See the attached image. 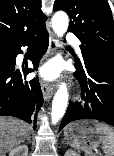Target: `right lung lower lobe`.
Instances as JSON below:
<instances>
[{
    "label": "right lung lower lobe",
    "instance_id": "obj_1",
    "mask_svg": "<svg viewBox=\"0 0 114 156\" xmlns=\"http://www.w3.org/2000/svg\"><path fill=\"white\" fill-rule=\"evenodd\" d=\"M49 45V35L46 26L42 25L36 30L17 39L8 41L6 46L13 56L12 65L0 68V116H15L28 123H33L36 129L37 111L42 105V93L37 79L26 81V75L34 69L15 68L16 56L22 53V46H33L30 57L34 68H38L39 61Z\"/></svg>",
    "mask_w": 114,
    "mask_h": 156
}]
</instances>
